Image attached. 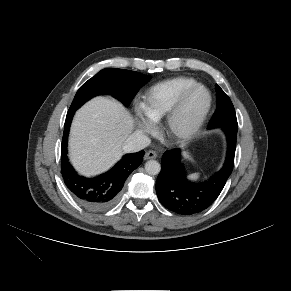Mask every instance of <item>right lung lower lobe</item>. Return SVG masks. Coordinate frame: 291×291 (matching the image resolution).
<instances>
[{
    "label": "right lung lower lobe",
    "instance_id": "right-lung-lower-lobe-1",
    "mask_svg": "<svg viewBox=\"0 0 291 291\" xmlns=\"http://www.w3.org/2000/svg\"><path fill=\"white\" fill-rule=\"evenodd\" d=\"M76 110L68 111L61 145V173L67 188L76 200L91 211L111 207L119 198L129 174L142 162L144 151L127 154L107 173L86 178L78 175L68 162L67 140L70 124Z\"/></svg>",
    "mask_w": 291,
    "mask_h": 291
}]
</instances>
